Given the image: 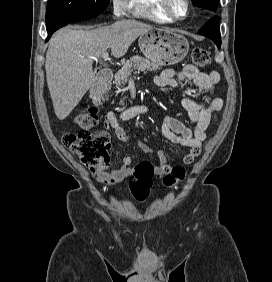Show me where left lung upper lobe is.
I'll list each match as a JSON object with an SVG mask.
<instances>
[{"instance_id": "left-lung-upper-lobe-1", "label": "left lung upper lobe", "mask_w": 272, "mask_h": 282, "mask_svg": "<svg viewBox=\"0 0 272 282\" xmlns=\"http://www.w3.org/2000/svg\"><path fill=\"white\" fill-rule=\"evenodd\" d=\"M192 2L197 7H201L210 12H214L217 10L219 0H192Z\"/></svg>"}]
</instances>
